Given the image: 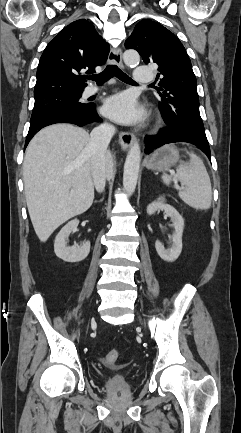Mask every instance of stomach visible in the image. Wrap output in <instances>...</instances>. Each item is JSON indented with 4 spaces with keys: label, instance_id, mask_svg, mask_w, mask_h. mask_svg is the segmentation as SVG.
Instances as JSON below:
<instances>
[{
    "label": "stomach",
    "instance_id": "stomach-1",
    "mask_svg": "<svg viewBox=\"0 0 241 433\" xmlns=\"http://www.w3.org/2000/svg\"><path fill=\"white\" fill-rule=\"evenodd\" d=\"M179 161V153L171 145H165L154 152L146 162L147 169L153 171H169Z\"/></svg>",
    "mask_w": 241,
    "mask_h": 433
}]
</instances>
